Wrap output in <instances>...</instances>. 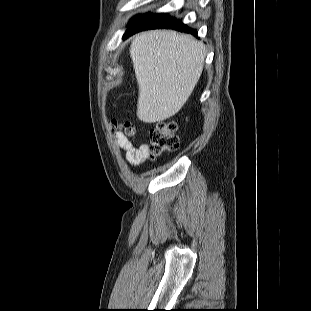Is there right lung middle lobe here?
Listing matches in <instances>:
<instances>
[{
    "mask_svg": "<svg viewBox=\"0 0 311 311\" xmlns=\"http://www.w3.org/2000/svg\"><path fill=\"white\" fill-rule=\"evenodd\" d=\"M136 18H137V16H136V17H134V18L131 20V22H133Z\"/></svg>",
    "mask_w": 311,
    "mask_h": 311,
    "instance_id": "obj_1",
    "label": "right lung middle lobe"
}]
</instances>
